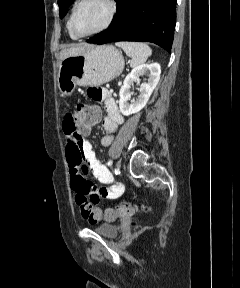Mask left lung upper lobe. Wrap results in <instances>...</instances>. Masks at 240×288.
Returning a JSON list of instances; mask_svg holds the SVG:
<instances>
[{"instance_id": "1", "label": "left lung upper lobe", "mask_w": 240, "mask_h": 288, "mask_svg": "<svg viewBox=\"0 0 240 288\" xmlns=\"http://www.w3.org/2000/svg\"><path fill=\"white\" fill-rule=\"evenodd\" d=\"M74 0H58L60 18H63L67 12V8Z\"/></svg>"}]
</instances>
